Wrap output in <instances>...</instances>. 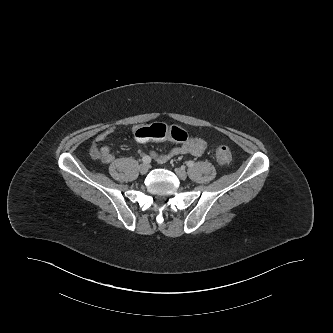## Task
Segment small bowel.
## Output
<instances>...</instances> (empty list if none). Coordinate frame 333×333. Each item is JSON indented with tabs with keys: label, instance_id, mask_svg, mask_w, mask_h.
Instances as JSON below:
<instances>
[{
	"label": "small bowel",
	"instance_id": "obj_1",
	"mask_svg": "<svg viewBox=\"0 0 333 333\" xmlns=\"http://www.w3.org/2000/svg\"><path fill=\"white\" fill-rule=\"evenodd\" d=\"M138 128L134 127L133 132H136ZM116 129L110 127L100 132L90 146V155L93 159L99 160L103 163H111L114 160V155L108 146H102V143L110 136L114 135ZM208 146V141L199 136L187 137V139L179 146L173 147L167 153L158 154L151 151V154L157 158L159 162H166L172 157L182 155H192L199 157L203 154Z\"/></svg>",
	"mask_w": 333,
	"mask_h": 333
}]
</instances>
